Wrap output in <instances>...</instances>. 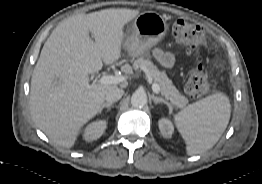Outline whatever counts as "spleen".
I'll list each match as a JSON object with an SVG mask.
<instances>
[{
  "mask_svg": "<svg viewBox=\"0 0 262 184\" xmlns=\"http://www.w3.org/2000/svg\"><path fill=\"white\" fill-rule=\"evenodd\" d=\"M231 114L229 98L216 93L174 115L176 127L186 143L188 155L211 149L225 131Z\"/></svg>",
  "mask_w": 262,
  "mask_h": 184,
  "instance_id": "1",
  "label": "spleen"
}]
</instances>
